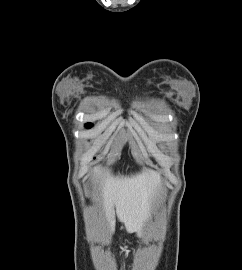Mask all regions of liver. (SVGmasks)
I'll use <instances>...</instances> for the list:
<instances>
[{"instance_id":"obj_1","label":"liver","mask_w":242,"mask_h":270,"mask_svg":"<svg viewBox=\"0 0 242 270\" xmlns=\"http://www.w3.org/2000/svg\"><path fill=\"white\" fill-rule=\"evenodd\" d=\"M93 176L101 177V193L105 216L110 232L115 231L114 207L118 219L124 223L127 232L141 229L151 216V208L158 200L161 191L159 173L146 170L141 174L128 176H110L100 166L93 169Z\"/></svg>"}]
</instances>
